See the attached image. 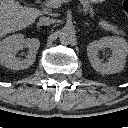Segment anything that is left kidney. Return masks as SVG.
<instances>
[{
	"mask_svg": "<svg viewBox=\"0 0 128 128\" xmlns=\"http://www.w3.org/2000/svg\"><path fill=\"white\" fill-rule=\"evenodd\" d=\"M106 48L111 50L108 61L99 58V51ZM87 55L92 67L101 74H114L124 69L128 55V43L124 38L103 37L87 46Z\"/></svg>",
	"mask_w": 128,
	"mask_h": 128,
	"instance_id": "1",
	"label": "left kidney"
}]
</instances>
